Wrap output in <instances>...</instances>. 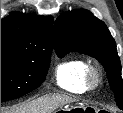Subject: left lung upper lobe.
Wrapping results in <instances>:
<instances>
[{"label":"left lung upper lobe","instance_id":"1","mask_svg":"<svg viewBox=\"0 0 123 113\" xmlns=\"http://www.w3.org/2000/svg\"><path fill=\"white\" fill-rule=\"evenodd\" d=\"M55 51L59 57L79 51L97 59L105 68L116 103L123 109V82L116 43L106 25L87 10L61 14L55 22Z\"/></svg>","mask_w":123,"mask_h":113}]
</instances>
